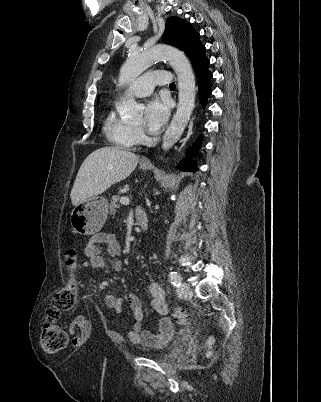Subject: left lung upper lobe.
Segmentation results:
<instances>
[{
  "label": "left lung upper lobe",
  "mask_w": 321,
  "mask_h": 402,
  "mask_svg": "<svg viewBox=\"0 0 321 402\" xmlns=\"http://www.w3.org/2000/svg\"><path fill=\"white\" fill-rule=\"evenodd\" d=\"M162 40L164 43L184 51L189 57L201 44L199 33L189 23L177 17L167 19Z\"/></svg>",
  "instance_id": "obj_1"
}]
</instances>
